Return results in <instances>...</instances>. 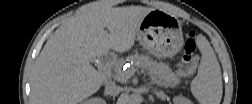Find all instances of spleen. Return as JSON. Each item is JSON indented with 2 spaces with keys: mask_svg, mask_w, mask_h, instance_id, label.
Returning a JSON list of instances; mask_svg holds the SVG:
<instances>
[{
  "mask_svg": "<svg viewBox=\"0 0 252 104\" xmlns=\"http://www.w3.org/2000/svg\"><path fill=\"white\" fill-rule=\"evenodd\" d=\"M197 44L202 57L197 75L191 82V93L200 104H219L223 92L219 62L204 36L197 37Z\"/></svg>",
  "mask_w": 252,
  "mask_h": 104,
  "instance_id": "1",
  "label": "spleen"
}]
</instances>
